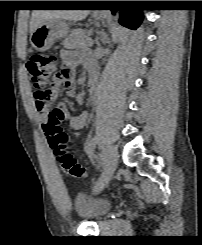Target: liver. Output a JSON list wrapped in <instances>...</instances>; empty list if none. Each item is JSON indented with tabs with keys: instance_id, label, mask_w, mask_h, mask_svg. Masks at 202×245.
I'll return each instance as SVG.
<instances>
[{
	"instance_id": "6515ba94",
	"label": "liver",
	"mask_w": 202,
	"mask_h": 245,
	"mask_svg": "<svg viewBox=\"0 0 202 245\" xmlns=\"http://www.w3.org/2000/svg\"><path fill=\"white\" fill-rule=\"evenodd\" d=\"M89 13V10H34L30 22V34L46 20L80 21L85 19Z\"/></svg>"
}]
</instances>
